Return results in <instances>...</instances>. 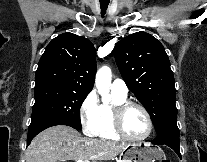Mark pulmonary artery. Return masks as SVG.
<instances>
[{
	"instance_id": "1",
	"label": "pulmonary artery",
	"mask_w": 207,
	"mask_h": 162,
	"mask_svg": "<svg viewBox=\"0 0 207 162\" xmlns=\"http://www.w3.org/2000/svg\"><path fill=\"white\" fill-rule=\"evenodd\" d=\"M111 91L115 95L126 97L128 93V88L123 80L116 79L111 84Z\"/></svg>"
}]
</instances>
